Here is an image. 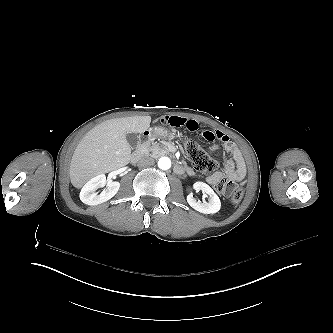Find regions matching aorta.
<instances>
[{
  "instance_id": "obj_1",
  "label": "aorta",
  "mask_w": 333,
  "mask_h": 333,
  "mask_svg": "<svg viewBox=\"0 0 333 333\" xmlns=\"http://www.w3.org/2000/svg\"><path fill=\"white\" fill-rule=\"evenodd\" d=\"M158 166L162 170H167L171 167V160L168 157H161L158 161Z\"/></svg>"
}]
</instances>
